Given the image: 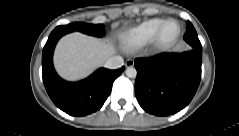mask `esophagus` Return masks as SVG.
I'll list each match as a JSON object with an SVG mask.
<instances>
[{"label":"esophagus","instance_id":"1","mask_svg":"<svg viewBox=\"0 0 239 136\" xmlns=\"http://www.w3.org/2000/svg\"><path fill=\"white\" fill-rule=\"evenodd\" d=\"M134 65V60L133 59H128L125 63L126 67H131Z\"/></svg>","mask_w":239,"mask_h":136}]
</instances>
